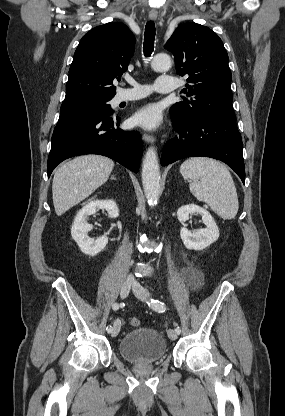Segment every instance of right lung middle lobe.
Returning a JSON list of instances; mask_svg holds the SVG:
<instances>
[{"label":"right lung middle lobe","instance_id":"obj_1","mask_svg":"<svg viewBox=\"0 0 285 416\" xmlns=\"http://www.w3.org/2000/svg\"><path fill=\"white\" fill-rule=\"evenodd\" d=\"M111 99L102 100H73L65 101L61 105L60 118L86 115V114H112L111 105L108 101Z\"/></svg>","mask_w":285,"mask_h":416}]
</instances>
